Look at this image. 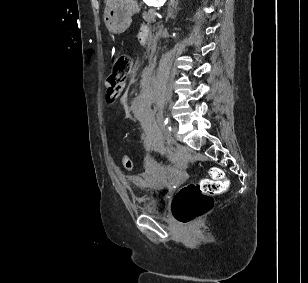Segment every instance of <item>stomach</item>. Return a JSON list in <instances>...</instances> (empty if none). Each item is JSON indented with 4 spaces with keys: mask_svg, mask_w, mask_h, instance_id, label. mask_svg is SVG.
<instances>
[{
    "mask_svg": "<svg viewBox=\"0 0 308 283\" xmlns=\"http://www.w3.org/2000/svg\"><path fill=\"white\" fill-rule=\"evenodd\" d=\"M139 5L135 0H118L104 11V22L107 29L114 34L125 32L132 21L133 14L139 12Z\"/></svg>",
    "mask_w": 308,
    "mask_h": 283,
    "instance_id": "stomach-1",
    "label": "stomach"
}]
</instances>
